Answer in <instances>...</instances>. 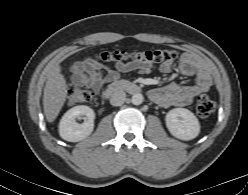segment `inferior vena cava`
Instances as JSON below:
<instances>
[{"label":"inferior vena cava","mask_w":248,"mask_h":195,"mask_svg":"<svg viewBox=\"0 0 248 195\" xmlns=\"http://www.w3.org/2000/svg\"><path fill=\"white\" fill-rule=\"evenodd\" d=\"M126 100V93L122 90H117L112 93L110 98V103L113 106H120L122 105Z\"/></svg>","instance_id":"1"}]
</instances>
